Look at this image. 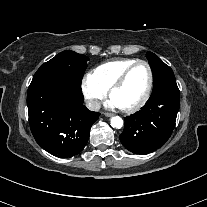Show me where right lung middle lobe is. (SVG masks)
<instances>
[{
  "label": "right lung middle lobe",
  "mask_w": 207,
  "mask_h": 207,
  "mask_svg": "<svg viewBox=\"0 0 207 207\" xmlns=\"http://www.w3.org/2000/svg\"><path fill=\"white\" fill-rule=\"evenodd\" d=\"M89 59L70 50L63 51L44 63L33 76L32 82L40 79H55L81 89V81Z\"/></svg>",
  "instance_id": "1"
}]
</instances>
